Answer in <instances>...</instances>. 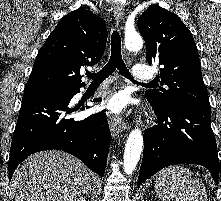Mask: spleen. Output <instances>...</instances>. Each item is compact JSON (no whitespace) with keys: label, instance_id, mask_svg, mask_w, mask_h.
Returning a JSON list of instances; mask_svg holds the SVG:
<instances>
[{"label":"spleen","instance_id":"1","mask_svg":"<svg viewBox=\"0 0 221 201\" xmlns=\"http://www.w3.org/2000/svg\"><path fill=\"white\" fill-rule=\"evenodd\" d=\"M155 190L162 201H207L204 184L182 165L169 166L156 175Z\"/></svg>","mask_w":221,"mask_h":201}]
</instances>
